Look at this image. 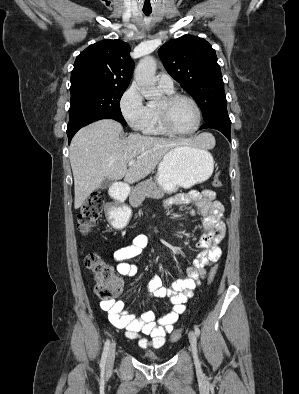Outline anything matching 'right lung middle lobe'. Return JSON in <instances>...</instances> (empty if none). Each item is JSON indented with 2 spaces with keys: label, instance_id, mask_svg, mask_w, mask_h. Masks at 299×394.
<instances>
[{
  "label": "right lung middle lobe",
  "instance_id": "1",
  "mask_svg": "<svg viewBox=\"0 0 299 394\" xmlns=\"http://www.w3.org/2000/svg\"><path fill=\"white\" fill-rule=\"evenodd\" d=\"M127 87L104 84H86L70 88V116L83 113L106 114L126 124L121 110L120 99Z\"/></svg>",
  "mask_w": 299,
  "mask_h": 394
}]
</instances>
